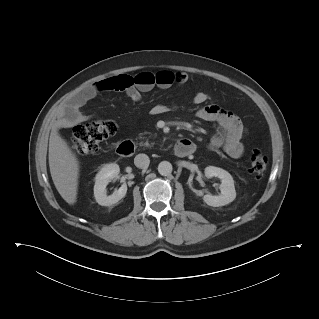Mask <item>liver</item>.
I'll return each mask as SVG.
<instances>
[{
	"instance_id": "6515ba94",
	"label": "liver",
	"mask_w": 319,
	"mask_h": 319,
	"mask_svg": "<svg viewBox=\"0 0 319 319\" xmlns=\"http://www.w3.org/2000/svg\"><path fill=\"white\" fill-rule=\"evenodd\" d=\"M49 167L57 191L73 205L77 201L79 161L56 130H52L49 139Z\"/></svg>"
}]
</instances>
